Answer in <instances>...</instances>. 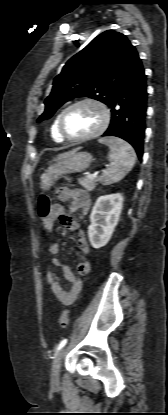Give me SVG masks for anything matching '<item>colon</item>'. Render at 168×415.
Listing matches in <instances>:
<instances>
[{"instance_id": "5ec220e1", "label": "colon", "mask_w": 168, "mask_h": 415, "mask_svg": "<svg viewBox=\"0 0 168 415\" xmlns=\"http://www.w3.org/2000/svg\"><path fill=\"white\" fill-rule=\"evenodd\" d=\"M38 214L41 219L42 229L47 231L51 227L54 220L55 206L52 205L50 198L46 194L41 195L39 198ZM68 323L69 311L65 310L60 316V325L61 327L65 328L67 327Z\"/></svg>"}]
</instances>
